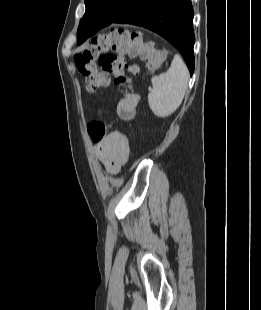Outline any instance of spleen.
I'll use <instances>...</instances> for the list:
<instances>
[{
  "label": "spleen",
  "mask_w": 261,
  "mask_h": 310,
  "mask_svg": "<svg viewBox=\"0 0 261 310\" xmlns=\"http://www.w3.org/2000/svg\"><path fill=\"white\" fill-rule=\"evenodd\" d=\"M189 80V71L179 55H175L166 73L151 79L152 91L148 103L152 112L160 118L173 114L181 105Z\"/></svg>",
  "instance_id": "spleen-1"
}]
</instances>
